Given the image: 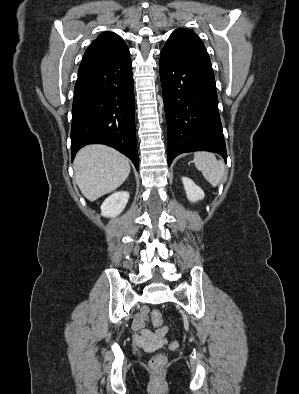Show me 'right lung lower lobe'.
Returning a JSON list of instances; mask_svg holds the SVG:
<instances>
[{
    "instance_id": "obj_1",
    "label": "right lung lower lobe",
    "mask_w": 299,
    "mask_h": 394,
    "mask_svg": "<svg viewBox=\"0 0 299 394\" xmlns=\"http://www.w3.org/2000/svg\"><path fill=\"white\" fill-rule=\"evenodd\" d=\"M95 143L117 149L138 170L130 58L78 70L72 107V160L81 147Z\"/></svg>"
}]
</instances>
